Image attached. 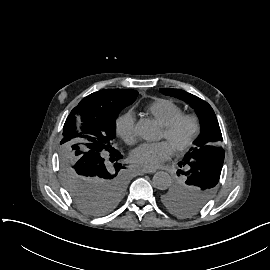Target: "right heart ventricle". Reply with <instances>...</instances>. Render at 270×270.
Returning a JSON list of instances; mask_svg holds the SVG:
<instances>
[{
  "instance_id": "right-heart-ventricle-1",
  "label": "right heart ventricle",
  "mask_w": 270,
  "mask_h": 270,
  "mask_svg": "<svg viewBox=\"0 0 270 270\" xmlns=\"http://www.w3.org/2000/svg\"><path fill=\"white\" fill-rule=\"evenodd\" d=\"M149 113L164 127L183 115V108L168 99L159 98L148 107Z\"/></svg>"
}]
</instances>
